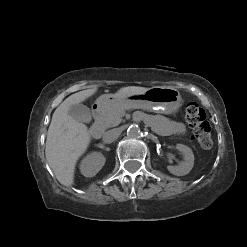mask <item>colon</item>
Returning <instances> with one entry per match:
<instances>
[{"label": "colon", "instance_id": "5ec220e1", "mask_svg": "<svg viewBox=\"0 0 247 247\" xmlns=\"http://www.w3.org/2000/svg\"><path fill=\"white\" fill-rule=\"evenodd\" d=\"M185 118L199 145L204 149L211 148L213 144L211 127L206 119L204 109L195 102L188 103L185 109Z\"/></svg>", "mask_w": 247, "mask_h": 247}]
</instances>
